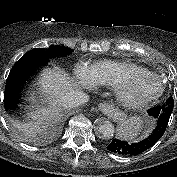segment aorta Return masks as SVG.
<instances>
[{"instance_id": "aorta-1", "label": "aorta", "mask_w": 177, "mask_h": 177, "mask_svg": "<svg viewBox=\"0 0 177 177\" xmlns=\"http://www.w3.org/2000/svg\"><path fill=\"white\" fill-rule=\"evenodd\" d=\"M97 132L102 138H112L114 136V125L109 120H100L96 124Z\"/></svg>"}]
</instances>
